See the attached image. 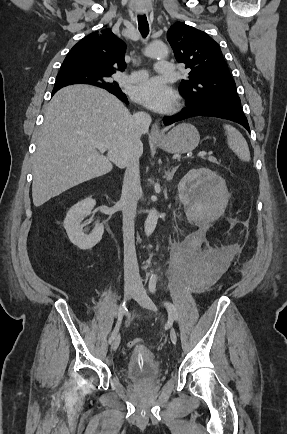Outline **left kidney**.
Wrapping results in <instances>:
<instances>
[{
	"instance_id": "obj_1",
	"label": "left kidney",
	"mask_w": 287,
	"mask_h": 434,
	"mask_svg": "<svg viewBox=\"0 0 287 434\" xmlns=\"http://www.w3.org/2000/svg\"><path fill=\"white\" fill-rule=\"evenodd\" d=\"M180 201L193 209H210L217 218L228 203V190L225 181L207 168L190 170L179 182Z\"/></svg>"
}]
</instances>
